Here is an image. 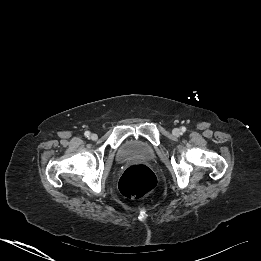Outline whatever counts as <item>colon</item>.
<instances>
[{"label": "colon", "instance_id": "1", "mask_svg": "<svg viewBox=\"0 0 261 261\" xmlns=\"http://www.w3.org/2000/svg\"><path fill=\"white\" fill-rule=\"evenodd\" d=\"M118 186L125 197L138 199L146 197L156 190L157 179L149 167L133 165L123 172Z\"/></svg>", "mask_w": 261, "mask_h": 261}]
</instances>
